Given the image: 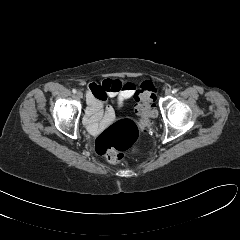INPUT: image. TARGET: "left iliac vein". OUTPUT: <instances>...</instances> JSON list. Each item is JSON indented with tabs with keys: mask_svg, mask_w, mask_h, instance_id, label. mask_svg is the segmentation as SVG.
<instances>
[{
	"mask_svg": "<svg viewBox=\"0 0 240 240\" xmlns=\"http://www.w3.org/2000/svg\"><path fill=\"white\" fill-rule=\"evenodd\" d=\"M171 93H172L171 89H166V90H165V95H166V96L171 95Z\"/></svg>",
	"mask_w": 240,
	"mask_h": 240,
	"instance_id": "4c4485c4",
	"label": "left iliac vein"
}]
</instances>
